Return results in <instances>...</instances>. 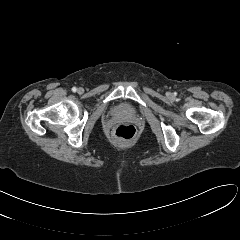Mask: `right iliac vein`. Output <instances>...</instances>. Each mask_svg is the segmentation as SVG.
<instances>
[{
	"label": "right iliac vein",
	"instance_id": "right-iliac-vein-1",
	"mask_svg": "<svg viewBox=\"0 0 240 240\" xmlns=\"http://www.w3.org/2000/svg\"><path fill=\"white\" fill-rule=\"evenodd\" d=\"M78 93H80V94L83 93V88H79Z\"/></svg>",
	"mask_w": 240,
	"mask_h": 240
}]
</instances>
